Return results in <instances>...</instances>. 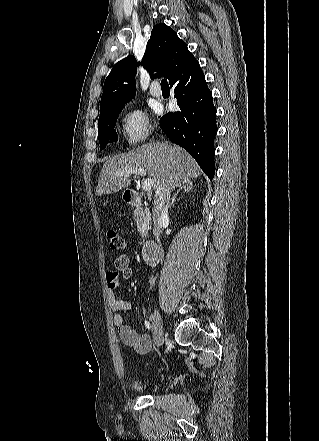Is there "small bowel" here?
I'll use <instances>...</instances> for the list:
<instances>
[{"mask_svg": "<svg viewBox=\"0 0 319 441\" xmlns=\"http://www.w3.org/2000/svg\"><path fill=\"white\" fill-rule=\"evenodd\" d=\"M115 271H108L105 274L109 305L114 314V324L118 330L121 341L139 354H146L152 346L151 337L148 334H139L133 328L126 325L120 311H127L131 308L130 302L119 296L121 279H128L132 274L128 256L121 255L115 260Z\"/></svg>", "mask_w": 319, "mask_h": 441, "instance_id": "1", "label": "small bowel"}]
</instances>
